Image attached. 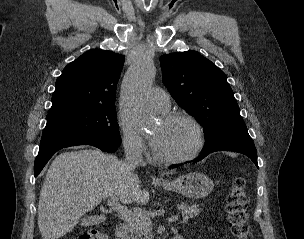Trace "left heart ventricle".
Returning a JSON list of instances; mask_svg holds the SVG:
<instances>
[{"instance_id": "b2bd125f", "label": "left heart ventricle", "mask_w": 304, "mask_h": 239, "mask_svg": "<svg viewBox=\"0 0 304 239\" xmlns=\"http://www.w3.org/2000/svg\"><path fill=\"white\" fill-rule=\"evenodd\" d=\"M158 140L155 151L162 156L175 157L188 153L196 141L193 126L183 120L165 122L161 120L152 131Z\"/></svg>"}]
</instances>
